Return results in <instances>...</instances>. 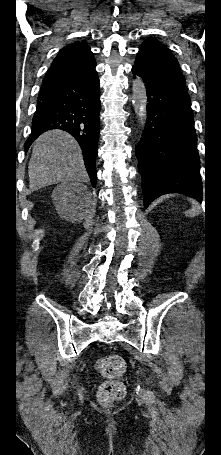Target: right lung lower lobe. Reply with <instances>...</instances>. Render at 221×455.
I'll return each instance as SVG.
<instances>
[{
  "label": "right lung lower lobe",
  "mask_w": 221,
  "mask_h": 455,
  "mask_svg": "<svg viewBox=\"0 0 221 455\" xmlns=\"http://www.w3.org/2000/svg\"><path fill=\"white\" fill-rule=\"evenodd\" d=\"M90 50L78 51L51 65L43 79L32 132L26 149L44 131L62 129L78 141L84 164L96 185L99 139L100 83Z\"/></svg>",
  "instance_id": "right-lung-lower-lobe-1"
}]
</instances>
